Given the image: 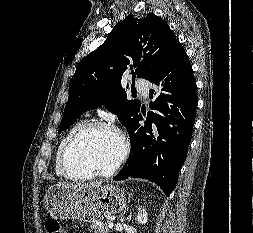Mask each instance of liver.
Listing matches in <instances>:
<instances>
[{"label":"liver","mask_w":253,"mask_h":233,"mask_svg":"<svg viewBox=\"0 0 253 233\" xmlns=\"http://www.w3.org/2000/svg\"><path fill=\"white\" fill-rule=\"evenodd\" d=\"M64 184V183H61ZM64 185H69V186H73V187H86V186H90V185H101L100 182H92V183H84V184H64Z\"/></svg>","instance_id":"liver-1"}]
</instances>
